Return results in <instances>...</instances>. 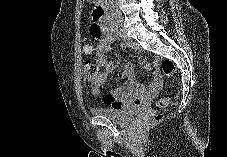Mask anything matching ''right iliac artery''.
I'll use <instances>...</instances> for the list:
<instances>
[{
	"mask_svg": "<svg viewBox=\"0 0 227 157\" xmlns=\"http://www.w3.org/2000/svg\"><path fill=\"white\" fill-rule=\"evenodd\" d=\"M113 40H114V41H117V40H118V37H117V36H114V37H113ZM124 48H125V47H124Z\"/></svg>",
	"mask_w": 227,
	"mask_h": 157,
	"instance_id": "right-iliac-artery-1",
	"label": "right iliac artery"
}]
</instances>
